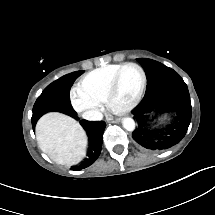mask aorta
<instances>
[{
  "label": "aorta",
  "mask_w": 215,
  "mask_h": 215,
  "mask_svg": "<svg viewBox=\"0 0 215 215\" xmlns=\"http://www.w3.org/2000/svg\"><path fill=\"white\" fill-rule=\"evenodd\" d=\"M122 125L127 131H134L135 121L132 118H123Z\"/></svg>",
  "instance_id": "obj_1"
}]
</instances>
